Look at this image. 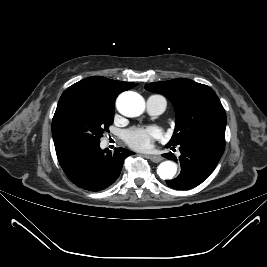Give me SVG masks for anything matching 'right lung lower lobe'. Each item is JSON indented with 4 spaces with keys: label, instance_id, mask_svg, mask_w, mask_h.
Returning <instances> with one entry per match:
<instances>
[{
    "label": "right lung lower lobe",
    "instance_id": "obj_1",
    "mask_svg": "<svg viewBox=\"0 0 267 267\" xmlns=\"http://www.w3.org/2000/svg\"><path fill=\"white\" fill-rule=\"evenodd\" d=\"M133 152L117 148L114 153L99 144H83L57 152L58 161L68 179L89 191H101L119 177L123 160Z\"/></svg>",
    "mask_w": 267,
    "mask_h": 267
}]
</instances>
